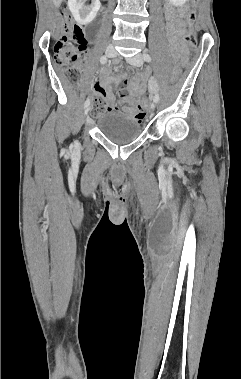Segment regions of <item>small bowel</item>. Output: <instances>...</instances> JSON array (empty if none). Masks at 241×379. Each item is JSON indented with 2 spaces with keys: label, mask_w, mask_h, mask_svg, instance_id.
<instances>
[{
  "label": "small bowel",
  "mask_w": 241,
  "mask_h": 379,
  "mask_svg": "<svg viewBox=\"0 0 241 379\" xmlns=\"http://www.w3.org/2000/svg\"><path fill=\"white\" fill-rule=\"evenodd\" d=\"M166 16L168 19L167 30L172 41V49L176 59L181 58L183 54L182 46L175 40V36L185 30V23L181 13H176L171 7L166 8ZM124 81L123 77H113L107 69H102L99 72V78L92 84L94 92L104 96L110 103L114 101V96L111 92L110 84L115 83L120 86ZM145 86L143 78H135L128 82L127 88H121L125 91V95H121L120 107L113 106V109H121L125 114L131 116L134 125H141L142 121L149 117V110H141L144 103L141 102L139 94L144 92Z\"/></svg>",
  "instance_id": "obj_1"
}]
</instances>
